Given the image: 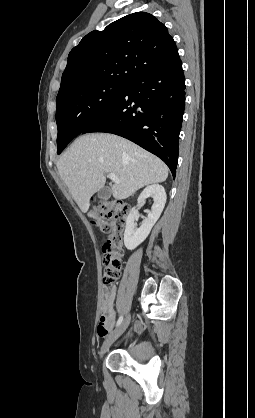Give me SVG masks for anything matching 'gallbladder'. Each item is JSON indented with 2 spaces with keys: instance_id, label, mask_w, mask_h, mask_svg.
Listing matches in <instances>:
<instances>
[{
  "instance_id": "1",
  "label": "gallbladder",
  "mask_w": 255,
  "mask_h": 418,
  "mask_svg": "<svg viewBox=\"0 0 255 418\" xmlns=\"http://www.w3.org/2000/svg\"><path fill=\"white\" fill-rule=\"evenodd\" d=\"M111 196V188L109 186H104L99 192H98V198L100 200H108Z\"/></svg>"
}]
</instances>
